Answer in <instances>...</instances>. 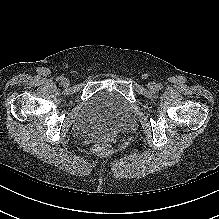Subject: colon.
Masks as SVG:
<instances>
[{
    "label": "colon",
    "instance_id": "colon-1",
    "mask_svg": "<svg viewBox=\"0 0 219 219\" xmlns=\"http://www.w3.org/2000/svg\"><path fill=\"white\" fill-rule=\"evenodd\" d=\"M110 152V147L107 144H96L92 148V153L99 156L107 155Z\"/></svg>",
    "mask_w": 219,
    "mask_h": 219
}]
</instances>
